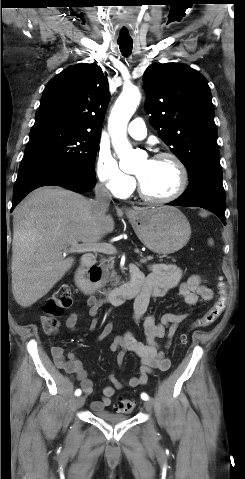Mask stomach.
I'll list each match as a JSON object with an SVG mask.
<instances>
[{
    "mask_svg": "<svg viewBox=\"0 0 245 479\" xmlns=\"http://www.w3.org/2000/svg\"><path fill=\"white\" fill-rule=\"evenodd\" d=\"M141 242L151 251L171 254L190 239L191 227L186 216L170 206L138 208L128 214Z\"/></svg>",
    "mask_w": 245,
    "mask_h": 479,
    "instance_id": "stomach-1",
    "label": "stomach"
}]
</instances>
